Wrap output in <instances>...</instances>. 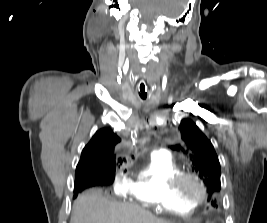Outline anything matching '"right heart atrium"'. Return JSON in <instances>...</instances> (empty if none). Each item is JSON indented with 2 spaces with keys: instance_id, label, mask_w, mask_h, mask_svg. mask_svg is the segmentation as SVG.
Returning a JSON list of instances; mask_svg holds the SVG:
<instances>
[{
  "instance_id": "1",
  "label": "right heart atrium",
  "mask_w": 267,
  "mask_h": 223,
  "mask_svg": "<svg viewBox=\"0 0 267 223\" xmlns=\"http://www.w3.org/2000/svg\"><path fill=\"white\" fill-rule=\"evenodd\" d=\"M127 184L128 180L126 179V177L121 172H117L113 180L114 192L116 194H124Z\"/></svg>"
}]
</instances>
